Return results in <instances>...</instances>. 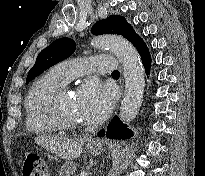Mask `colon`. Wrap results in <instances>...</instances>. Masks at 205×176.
Listing matches in <instances>:
<instances>
[{
    "instance_id": "obj_1",
    "label": "colon",
    "mask_w": 205,
    "mask_h": 176,
    "mask_svg": "<svg viewBox=\"0 0 205 176\" xmlns=\"http://www.w3.org/2000/svg\"><path fill=\"white\" fill-rule=\"evenodd\" d=\"M47 163L41 157L29 156L22 166V176H47Z\"/></svg>"
}]
</instances>
